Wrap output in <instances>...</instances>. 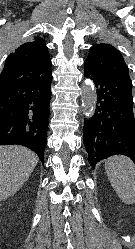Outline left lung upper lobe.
I'll return each mask as SVG.
<instances>
[{
	"mask_svg": "<svg viewBox=\"0 0 135 249\" xmlns=\"http://www.w3.org/2000/svg\"><path fill=\"white\" fill-rule=\"evenodd\" d=\"M84 65L107 77L131 82L128 66L121 53L110 44H94Z\"/></svg>",
	"mask_w": 135,
	"mask_h": 249,
	"instance_id": "left-lung-upper-lobe-1",
	"label": "left lung upper lobe"
}]
</instances>
